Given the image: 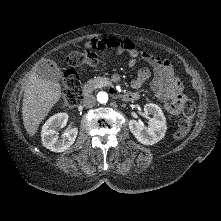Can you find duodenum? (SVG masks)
I'll use <instances>...</instances> for the list:
<instances>
[{
    "label": "duodenum",
    "instance_id": "obj_1",
    "mask_svg": "<svg viewBox=\"0 0 221 221\" xmlns=\"http://www.w3.org/2000/svg\"><path fill=\"white\" fill-rule=\"evenodd\" d=\"M91 91H92V87L90 85H86L83 89V96L84 97L88 96L91 93ZM110 91L114 93L113 90H110ZM120 98L125 102H131V101L138 99V96L133 92H125L120 95Z\"/></svg>",
    "mask_w": 221,
    "mask_h": 221
}]
</instances>
